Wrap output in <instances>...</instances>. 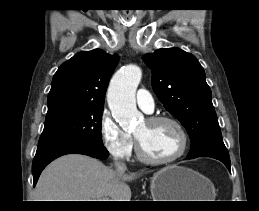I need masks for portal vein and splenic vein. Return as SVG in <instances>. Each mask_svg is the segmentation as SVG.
I'll return each mask as SVG.
<instances>
[{"label": "portal vein and splenic vein", "mask_w": 259, "mask_h": 211, "mask_svg": "<svg viewBox=\"0 0 259 211\" xmlns=\"http://www.w3.org/2000/svg\"><path fill=\"white\" fill-rule=\"evenodd\" d=\"M98 201H111V200L108 198H102V199H99Z\"/></svg>", "instance_id": "18ae733b"}]
</instances>
